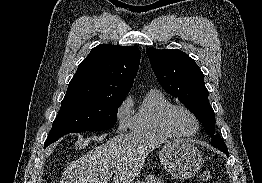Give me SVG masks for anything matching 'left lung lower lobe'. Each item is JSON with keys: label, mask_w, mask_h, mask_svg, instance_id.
Wrapping results in <instances>:
<instances>
[{"label": "left lung lower lobe", "mask_w": 262, "mask_h": 183, "mask_svg": "<svg viewBox=\"0 0 262 183\" xmlns=\"http://www.w3.org/2000/svg\"><path fill=\"white\" fill-rule=\"evenodd\" d=\"M218 149H220L222 152H224L228 156V150L227 149H222V148H218Z\"/></svg>", "instance_id": "obj_1"}]
</instances>
